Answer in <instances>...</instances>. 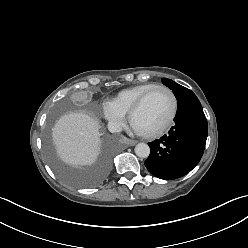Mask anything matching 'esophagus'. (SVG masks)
<instances>
[{
    "instance_id": "obj_1",
    "label": "esophagus",
    "mask_w": 248,
    "mask_h": 248,
    "mask_svg": "<svg viewBox=\"0 0 248 248\" xmlns=\"http://www.w3.org/2000/svg\"><path fill=\"white\" fill-rule=\"evenodd\" d=\"M123 141H124L128 146H134V145L137 143L136 140H132V139H129V138H126V137L123 138Z\"/></svg>"
}]
</instances>
